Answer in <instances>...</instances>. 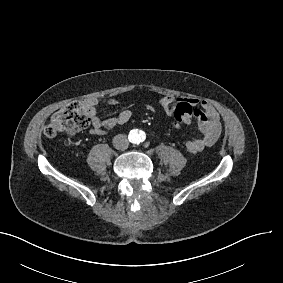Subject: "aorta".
<instances>
[{"label":"aorta","mask_w":283,"mask_h":283,"mask_svg":"<svg viewBox=\"0 0 283 283\" xmlns=\"http://www.w3.org/2000/svg\"><path fill=\"white\" fill-rule=\"evenodd\" d=\"M128 138L131 143L139 144L146 139V134L142 130L133 129L129 132Z\"/></svg>","instance_id":"1"}]
</instances>
